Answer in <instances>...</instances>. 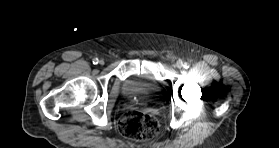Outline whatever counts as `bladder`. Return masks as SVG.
I'll return each mask as SVG.
<instances>
[{
    "instance_id": "1",
    "label": "bladder",
    "mask_w": 279,
    "mask_h": 148,
    "mask_svg": "<svg viewBox=\"0 0 279 148\" xmlns=\"http://www.w3.org/2000/svg\"><path fill=\"white\" fill-rule=\"evenodd\" d=\"M122 93L145 104L161 100L162 86L150 71L130 74L122 84Z\"/></svg>"
}]
</instances>
